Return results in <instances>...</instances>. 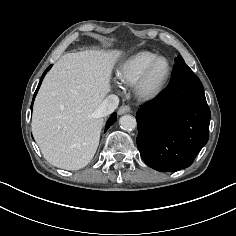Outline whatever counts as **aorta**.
I'll return each instance as SVG.
<instances>
[{"label":"aorta","mask_w":236,"mask_h":236,"mask_svg":"<svg viewBox=\"0 0 236 236\" xmlns=\"http://www.w3.org/2000/svg\"><path fill=\"white\" fill-rule=\"evenodd\" d=\"M119 125L123 130H133L137 126V122L132 115H123L119 119Z\"/></svg>","instance_id":"1"}]
</instances>
